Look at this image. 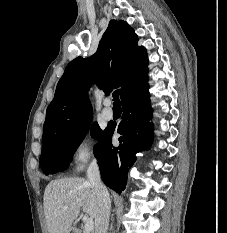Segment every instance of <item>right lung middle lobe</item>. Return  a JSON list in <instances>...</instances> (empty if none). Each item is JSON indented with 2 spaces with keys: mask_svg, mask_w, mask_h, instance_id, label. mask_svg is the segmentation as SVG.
Masks as SVG:
<instances>
[{
  "mask_svg": "<svg viewBox=\"0 0 227 233\" xmlns=\"http://www.w3.org/2000/svg\"><path fill=\"white\" fill-rule=\"evenodd\" d=\"M90 124L91 121L42 144L40 165L46 175L54 174L67 168L75 150L84 139ZM105 133L106 130L102 131L96 122L91 125V136L94 139L101 141ZM100 141L96 144L95 151Z\"/></svg>",
  "mask_w": 227,
  "mask_h": 233,
  "instance_id": "1",
  "label": "right lung middle lobe"
}]
</instances>
